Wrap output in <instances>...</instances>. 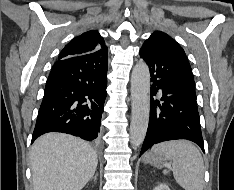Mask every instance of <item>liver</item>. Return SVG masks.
<instances>
[{"label": "liver", "instance_id": "liver-1", "mask_svg": "<svg viewBox=\"0 0 234 190\" xmlns=\"http://www.w3.org/2000/svg\"><path fill=\"white\" fill-rule=\"evenodd\" d=\"M34 190H81L97 168V154L85 141L62 133L39 137L31 149Z\"/></svg>", "mask_w": 234, "mask_h": 190}]
</instances>
